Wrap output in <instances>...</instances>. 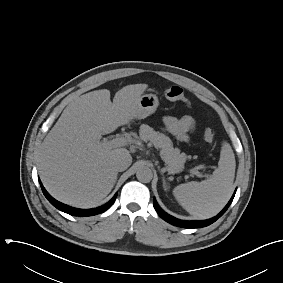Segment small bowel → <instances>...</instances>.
<instances>
[{"instance_id": "obj_1", "label": "small bowel", "mask_w": 283, "mask_h": 283, "mask_svg": "<svg viewBox=\"0 0 283 283\" xmlns=\"http://www.w3.org/2000/svg\"><path fill=\"white\" fill-rule=\"evenodd\" d=\"M163 123L165 130L180 141H187L190 133H192L195 128V121L189 115H185L181 118L166 116L163 119Z\"/></svg>"}]
</instances>
